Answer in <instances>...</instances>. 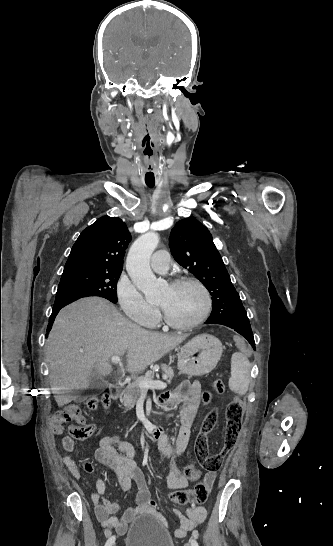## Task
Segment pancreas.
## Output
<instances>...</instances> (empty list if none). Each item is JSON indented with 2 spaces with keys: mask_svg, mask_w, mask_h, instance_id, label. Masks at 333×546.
Here are the masks:
<instances>
[{
  "mask_svg": "<svg viewBox=\"0 0 333 546\" xmlns=\"http://www.w3.org/2000/svg\"><path fill=\"white\" fill-rule=\"evenodd\" d=\"M159 367V366H157ZM161 369L164 372V375L169 379L172 380L174 376V371L170 366H167L165 364H161ZM154 372L152 370L147 371L144 376L137 377L131 384H128L126 388L123 390V399L122 402L124 406L127 409H131L135 406L137 399L141 393V388L139 387V383L142 380H153L154 379Z\"/></svg>",
  "mask_w": 333,
  "mask_h": 546,
  "instance_id": "obj_1",
  "label": "pancreas"
}]
</instances>
